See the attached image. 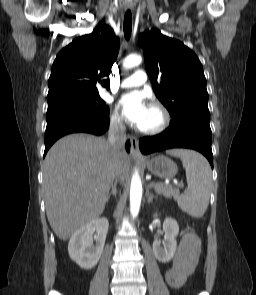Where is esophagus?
Listing matches in <instances>:
<instances>
[{
    "mask_svg": "<svg viewBox=\"0 0 256 295\" xmlns=\"http://www.w3.org/2000/svg\"><path fill=\"white\" fill-rule=\"evenodd\" d=\"M131 8H132L131 3H127L126 9H131ZM130 143H131V155L134 157L142 158V155L139 151L138 139L136 137H131Z\"/></svg>",
    "mask_w": 256,
    "mask_h": 295,
    "instance_id": "34e87169",
    "label": "esophagus"
}]
</instances>
